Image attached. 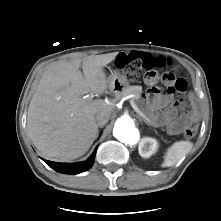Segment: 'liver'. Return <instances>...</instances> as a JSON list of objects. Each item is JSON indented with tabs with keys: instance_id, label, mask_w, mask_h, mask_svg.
Returning <instances> with one entry per match:
<instances>
[{
	"instance_id": "6515ba94",
	"label": "liver",
	"mask_w": 221,
	"mask_h": 221,
	"mask_svg": "<svg viewBox=\"0 0 221 221\" xmlns=\"http://www.w3.org/2000/svg\"><path fill=\"white\" fill-rule=\"evenodd\" d=\"M117 52L57 61L43 72L30 101L27 129L35 147L47 159L70 161L84 155L97 138L98 113L111 115L104 100L84 99L103 94L109 86L104 67ZM82 64L83 74L79 70Z\"/></svg>"
}]
</instances>
